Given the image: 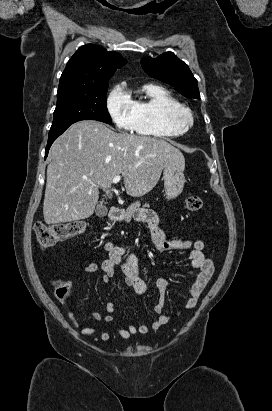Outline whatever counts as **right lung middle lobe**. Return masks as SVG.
<instances>
[{
    "label": "right lung middle lobe",
    "mask_w": 272,
    "mask_h": 411,
    "mask_svg": "<svg viewBox=\"0 0 272 411\" xmlns=\"http://www.w3.org/2000/svg\"><path fill=\"white\" fill-rule=\"evenodd\" d=\"M108 83L81 90L57 93V105L48 139L61 135L71 124L81 120H97L111 124L107 110Z\"/></svg>",
    "instance_id": "dd1d6c3e"
}]
</instances>
